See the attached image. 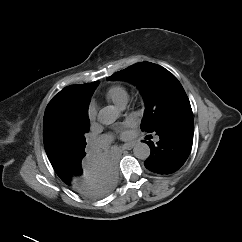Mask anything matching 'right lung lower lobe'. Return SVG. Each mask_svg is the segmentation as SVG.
Returning <instances> with one entry per match:
<instances>
[{
  "label": "right lung lower lobe",
  "mask_w": 242,
  "mask_h": 242,
  "mask_svg": "<svg viewBox=\"0 0 242 242\" xmlns=\"http://www.w3.org/2000/svg\"><path fill=\"white\" fill-rule=\"evenodd\" d=\"M56 173L75 192L91 199L105 197L117 183V167L113 155L83 156Z\"/></svg>",
  "instance_id": "right-lung-lower-lobe-1"
}]
</instances>
